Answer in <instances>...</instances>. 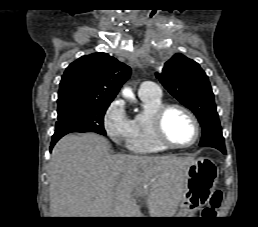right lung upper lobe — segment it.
Listing matches in <instances>:
<instances>
[{
	"label": "right lung upper lobe",
	"instance_id": "cb5924a9",
	"mask_svg": "<svg viewBox=\"0 0 258 227\" xmlns=\"http://www.w3.org/2000/svg\"><path fill=\"white\" fill-rule=\"evenodd\" d=\"M130 67L104 52L82 56L65 70L58 98L110 103L130 77Z\"/></svg>",
	"mask_w": 258,
	"mask_h": 227
}]
</instances>
